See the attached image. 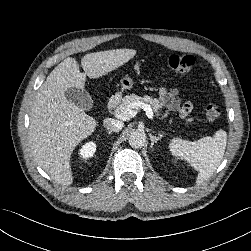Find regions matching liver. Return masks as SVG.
I'll use <instances>...</instances> for the list:
<instances>
[{"instance_id": "6515ba94", "label": "liver", "mask_w": 251, "mask_h": 251, "mask_svg": "<svg viewBox=\"0 0 251 251\" xmlns=\"http://www.w3.org/2000/svg\"><path fill=\"white\" fill-rule=\"evenodd\" d=\"M133 49H117L86 54L81 59L84 73L74 58L58 64L39 88L31 107L29 143L37 164L55 181L70 185L73 176L70 158L75 147L96 129L97 121L69 102L65 92L84 90L86 76L95 79L127 63Z\"/></svg>"}]
</instances>
